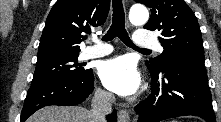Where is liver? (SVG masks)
Segmentation results:
<instances>
[{
	"instance_id": "6515ba94",
	"label": "liver",
	"mask_w": 221,
	"mask_h": 122,
	"mask_svg": "<svg viewBox=\"0 0 221 122\" xmlns=\"http://www.w3.org/2000/svg\"><path fill=\"white\" fill-rule=\"evenodd\" d=\"M27 122H95L90 110L79 106H46Z\"/></svg>"
}]
</instances>
